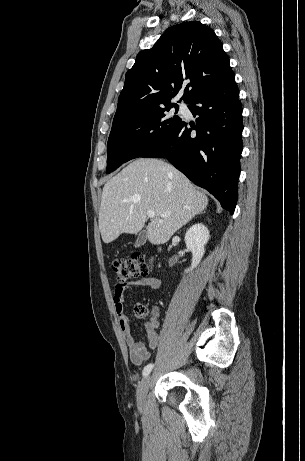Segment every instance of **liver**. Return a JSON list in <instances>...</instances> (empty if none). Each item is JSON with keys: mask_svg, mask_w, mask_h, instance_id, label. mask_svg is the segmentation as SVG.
I'll return each mask as SVG.
<instances>
[{"mask_svg": "<svg viewBox=\"0 0 305 461\" xmlns=\"http://www.w3.org/2000/svg\"><path fill=\"white\" fill-rule=\"evenodd\" d=\"M207 204V196L176 168L162 160L139 158L103 187L99 211L102 240L108 244L122 233L137 234L147 211L153 210L147 238L152 244L166 243Z\"/></svg>", "mask_w": 305, "mask_h": 461, "instance_id": "1", "label": "liver"}]
</instances>
